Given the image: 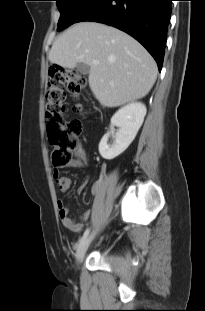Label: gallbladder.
Segmentation results:
<instances>
[{
    "mask_svg": "<svg viewBox=\"0 0 205 311\" xmlns=\"http://www.w3.org/2000/svg\"><path fill=\"white\" fill-rule=\"evenodd\" d=\"M76 71L82 75H87L90 71V68L87 64L79 63L76 65Z\"/></svg>",
    "mask_w": 205,
    "mask_h": 311,
    "instance_id": "bac80fb5",
    "label": "gallbladder"
}]
</instances>
